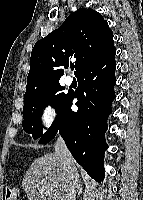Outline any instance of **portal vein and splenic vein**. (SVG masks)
Returning a JSON list of instances; mask_svg holds the SVG:
<instances>
[{
  "label": "portal vein and splenic vein",
  "mask_w": 143,
  "mask_h": 200,
  "mask_svg": "<svg viewBox=\"0 0 143 200\" xmlns=\"http://www.w3.org/2000/svg\"><path fill=\"white\" fill-rule=\"evenodd\" d=\"M41 190H42V193H44L46 196L50 195V191H49L48 188H46V187H42Z\"/></svg>",
  "instance_id": "18ae733b"
}]
</instances>
